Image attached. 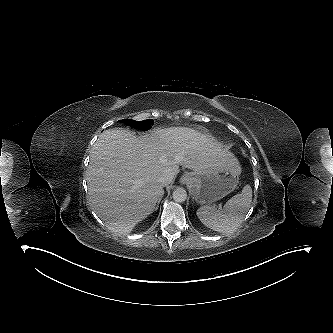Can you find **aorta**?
<instances>
[{
    "label": "aorta",
    "instance_id": "762f6f07",
    "mask_svg": "<svg viewBox=\"0 0 333 333\" xmlns=\"http://www.w3.org/2000/svg\"><path fill=\"white\" fill-rule=\"evenodd\" d=\"M174 201L176 202H184L187 198V192L182 187H177L172 194Z\"/></svg>",
    "mask_w": 333,
    "mask_h": 333
}]
</instances>
